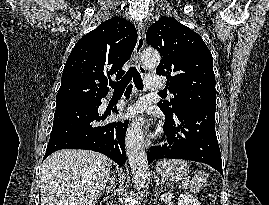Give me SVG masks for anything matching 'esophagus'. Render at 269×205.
<instances>
[{
  "label": "esophagus",
  "mask_w": 269,
  "mask_h": 205,
  "mask_svg": "<svg viewBox=\"0 0 269 205\" xmlns=\"http://www.w3.org/2000/svg\"><path fill=\"white\" fill-rule=\"evenodd\" d=\"M137 32H138V39H137V44L135 47V52H134V58L136 61L137 68L140 72L141 75L146 74V68L141 62V52L145 44V28L142 22L138 23L137 27ZM152 120L149 119L147 121L146 126L143 129V137H144V145L146 148H149L151 141H150V135H151V125H152Z\"/></svg>",
  "instance_id": "esophagus-1"
}]
</instances>
